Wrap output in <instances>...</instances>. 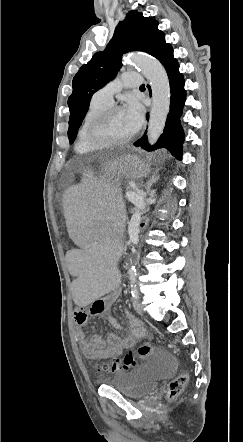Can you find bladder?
Returning <instances> with one entry per match:
<instances>
[{"mask_svg":"<svg viewBox=\"0 0 243 442\" xmlns=\"http://www.w3.org/2000/svg\"><path fill=\"white\" fill-rule=\"evenodd\" d=\"M173 370L174 361L168 356L158 354L129 372L118 373L104 379L103 383L128 398L136 399L152 392L161 380L172 374Z\"/></svg>","mask_w":243,"mask_h":442,"instance_id":"31cf9c89","label":"bladder"}]
</instances>
